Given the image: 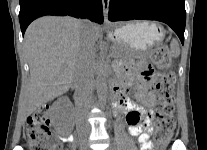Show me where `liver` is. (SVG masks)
I'll return each instance as SVG.
<instances>
[{
  "instance_id": "liver-1",
  "label": "liver",
  "mask_w": 207,
  "mask_h": 150,
  "mask_svg": "<svg viewBox=\"0 0 207 150\" xmlns=\"http://www.w3.org/2000/svg\"><path fill=\"white\" fill-rule=\"evenodd\" d=\"M89 31L96 42L100 26L90 23ZM81 33L82 21L71 17L45 16L29 25L24 36L30 68V82L22 100L25 116L69 89L75 78Z\"/></svg>"
}]
</instances>
